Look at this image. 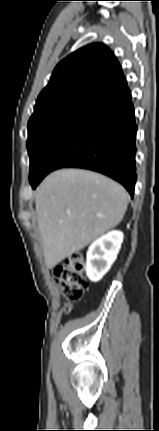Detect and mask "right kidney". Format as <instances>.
Wrapping results in <instances>:
<instances>
[{
  "label": "right kidney",
  "instance_id": "1",
  "mask_svg": "<svg viewBox=\"0 0 159 431\" xmlns=\"http://www.w3.org/2000/svg\"><path fill=\"white\" fill-rule=\"evenodd\" d=\"M124 235L111 231L94 241L87 252L86 274L92 282H98L109 271L117 258Z\"/></svg>",
  "mask_w": 159,
  "mask_h": 431
}]
</instances>
